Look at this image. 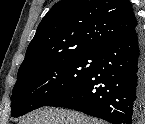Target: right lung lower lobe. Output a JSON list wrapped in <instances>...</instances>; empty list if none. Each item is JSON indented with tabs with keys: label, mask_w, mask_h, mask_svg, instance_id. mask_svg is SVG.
<instances>
[{
	"label": "right lung lower lobe",
	"mask_w": 145,
	"mask_h": 124,
	"mask_svg": "<svg viewBox=\"0 0 145 124\" xmlns=\"http://www.w3.org/2000/svg\"><path fill=\"white\" fill-rule=\"evenodd\" d=\"M45 106L78 110L112 124H135L145 108V39L139 26L106 45L88 76Z\"/></svg>",
	"instance_id": "obj_1"
}]
</instances>
